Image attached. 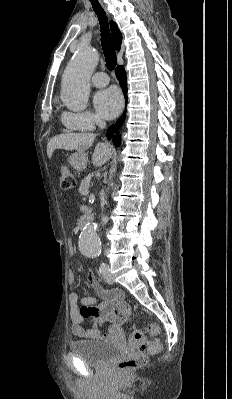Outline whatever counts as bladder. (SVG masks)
<instances>
[{"instance_id":"1","label":"bladder","mask_w":232,"mask_h":399,"mask_svg":"<svg viewBox=\"0 0 232 399\" xmlns=\"http://www.w3.org/2000/svg\"><path fill=\"white\" fill-rule=\"evenodd\" d=\"M71 352L92 365H103L119 356L122 348L104 340H78L69 344Z\"/></svg>"}]
</instances>
